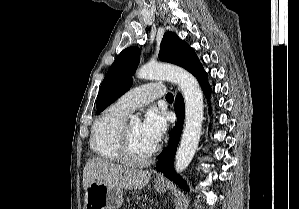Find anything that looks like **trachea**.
<instances>
[{
	"mask_svg": "<svg viewBox=\"0 0 299 209\" xmlns=\"http://www.w3.org/2000/svg\"><path fill=\"white\" fill-rule=\"evenodd\" d=\"M166 100H167V101H173V100H174V96H173V94L168 93V94L166 95Z\"/></svg>",
	"mask_w": 299,
	"mask_h": 209,
	"instance_id": "3493384b",
	"label": "trachea"
}]
</instances>
